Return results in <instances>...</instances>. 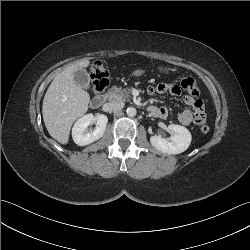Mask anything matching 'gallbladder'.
Masks as SVG:
<instances>
[{"instance_id": "bac80fb5", "label": "gallbladder", "mask_w": 250, "mask_h": 250, "mask_svg": "<svg viewBox=\"0 0 250 250\" xmlns=\"http://www.w3.org/2000/svg\"><path fill=\"white\" fill-rule=\"evenodd\" d=\"M74 80L77 85L82 88H88L90 83V76L85 69H78L74 73Z\"/></svg>"}]
</instances>
